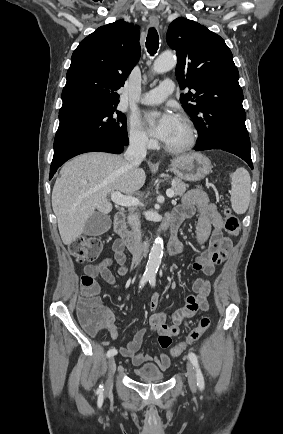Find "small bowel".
Listing matches in <instances>:
<instances>
[{"instance_id":"obj_1","label":"small bowel","mask_w":283,"mask_h":434,"mask_svg":"<svg viewBox=\"0 0 283 434\" xmlns=\"http://www.w3.org/2000/svg\"><path fill=\"white\" fill-rule=\"evenodd\" d=\"M198 214L196 226V238L199 244L209 242V248L203 251L193 263V269L203 274L193 283L194 294L188 295L185 305L170 313L158 312L151 315L149 320L150 329L159 335L158 341L161 348H168L172 337L179 332V326L184 319L195 317L209 308L208 296L210 294V283L206 279L214 274L216 265L222 263L232 249V240L223 234V219L214 203L210 202L207 194L200 187L190 189L182 199L181 204L169 215L168 222L177 226L182 222ZM113 257L99 260L95 264L85 267V274L92 277L100 276L109 285H115L116 280L110 267L115 262L118 264L117 273L119 276H126L128 267L126 265L125 248L122 242L117 239L113 243ZM171 255L178 257L183 254V248L179 240L169 244ZM158 296H152L149 307L152 311L157 308ZM103 325L110 337L116 341L119 337L115 325V316L108 308H102ZM170 320V324L167 320ZM145 335V330L138 331L126 346L119 349L121 356L130 358L135 367H140L146 362H154L161 369L166 370L171 363L167 353H161L158 357L140 352Z\"/></svg>"}]
</instances>
